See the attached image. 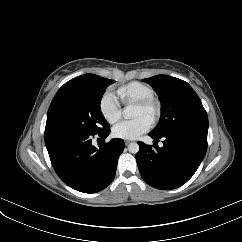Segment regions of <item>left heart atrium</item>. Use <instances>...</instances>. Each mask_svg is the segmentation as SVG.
Returning <instances> with one entry per match:
<instances>
[{
	"instance_id": "39dd6f15",
	"label": "left heart atrium",
	"mask_w": 242,
	"mask_h": 242,
	"mask_svg": "<svg viewBox=\"0 0 242 242\" xmlns=\"http://www.w3.org/2000/svg\"><path fill=\"white\" fill-rule=\"evenodd\" d=\"M150 127V119L141 116L133 120L118 123L113 127L112 133L116 138L134 140L147 132Z\"/></svg>"
}]
</instances>
